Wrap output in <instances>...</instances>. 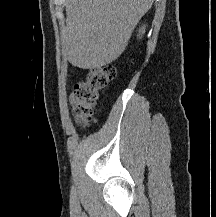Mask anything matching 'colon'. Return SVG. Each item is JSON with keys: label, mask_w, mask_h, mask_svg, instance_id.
Returning <instances> with one entry per match:
<instances>
[{"label": "colon", "mask_w": 216, "mask_h": 217, "mask_svg": "<svg viewBox=\"0 0 216 217\" xmlns=\"http://www.w3.org/2000/svg\"><path fill=\"white\" fill-rule=\"evenodd\" d=\"M113 66H103L89 70L84 81L78 82L71 96L74 119L78 124L87 125L93 114L99 92L114 79Z\"/></svg>", "instance_id": "1"}]
</instances>
